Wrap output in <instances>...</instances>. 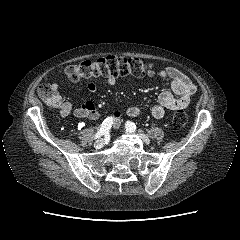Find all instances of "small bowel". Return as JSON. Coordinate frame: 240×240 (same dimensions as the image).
Instances as JSON below:
<instances>
[{"mask_svg": "<svg viewBox=\"0 0 240 240\" xmlns=\"http://www.w3.org/2000/svg\"><path fill=\"white\" fill-rule=\"evenodd\" d=\"M159 76L162 79L171 81V90L162 92L158 99L151 105V113L155 118L165 116L167 110H179L186 108L191 101L192 96L196 92L195 84L188 76L175 67H167L160 71ZM118 79L116 77H107L103 80V86H114ZM53 88L57 90L58 85L53 83ZM79 90L85 89L89 94L93 95L97 91L94 82H86L78 87ZM59 112L63 117L73 113L78 118H89L97 120L100 114L93 101L87 100L76 108L68 102H61ZM126 114L136 117L140 114V108L137 106L129 107ZM113 116L116 119L115 127H118L121 121V113L115 112Z\"/></svg>", "mask_w": 240, "mask_h": 240, "instance_id": "small-bowel-1", "label": "small bowel"}]
</instances>
